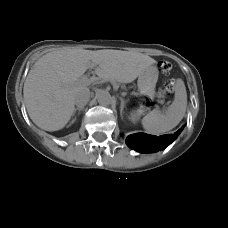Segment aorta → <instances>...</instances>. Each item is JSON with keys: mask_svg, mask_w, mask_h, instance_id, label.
Wrapping results in <instances>:
<instances>
[{"mask_svg": "<svg viewBox=\"0 0 228 228\" xmlns=\"http://www.w3.org/2000/svg\"><path fill=\"white\" fill-rule=\"evenodd\" d=\"M97 101L102 106H108L113 102V98L108 91L101 90L96 95Z\"/></svg>", "mask_w": 228, "mask_h": 228, "instance_id": "1", "label": "aorta"}]
</instances>
